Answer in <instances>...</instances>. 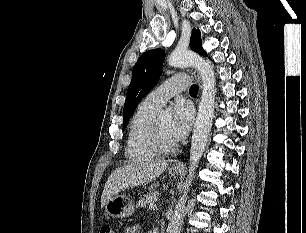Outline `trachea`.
I'll use <instances>...</instances> for the list:
<instances>
[{"mask_svg": "<svg viewBox=\"0 0 306 233\" xmlns=\"http://www.w3.org/2000/svg\"><path fill=\"white\" fill-rule=\"evenodd\" d=\"M189 92H190V94H192V95H197V93H198V86H197V85H192V86L190 87Z\"/></svg>", "mask_w": 306, "mask_h": 233, "instance_id": "trachea-1", "label": "trachea"}]
</instances>
